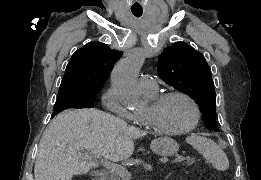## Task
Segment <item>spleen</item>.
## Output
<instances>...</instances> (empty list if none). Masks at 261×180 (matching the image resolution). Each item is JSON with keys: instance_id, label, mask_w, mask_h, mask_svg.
Returning a JSON list of instances; mask_svg holds the SVG:
<instances>
[{"instance_id": "1", "label": "spleen", "mask_w": 261, "mask_h": 180, "mask_svg": "<svg viewBox=\"0 0 261 180\" xmlns=\"http://www.w3.org/2000/svg\"><path fill=\"white\" fill-rule=\"evenodd\" d=\"M187 144L193 146L205 160H209L211 162L213 168L216 170H228L229 168V160L223 152L222 148L213 142V140H208V138H203V136H188L186 138Z\"/></svg>"}]
</instances>
